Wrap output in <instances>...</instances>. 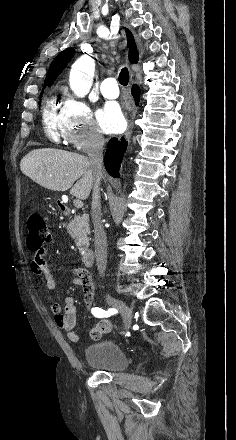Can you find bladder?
<instances>
[{"instance_id":"bladder-1","label":"bladder","mask_w":236,"mask_h":440,"mask_svg":"<svg viewBox=\"0 0 236 440\" xmlns=\"http://www.w3.org/2000/svg\"><path fill=\"white\" fill-rule=\"evenodd\" d=\"M85 360L107 372H121L128 366V358L121 346L110 340L90 344L85 350Z\"/></svg>"}]
</instances>
